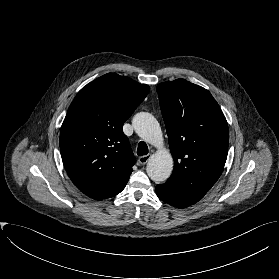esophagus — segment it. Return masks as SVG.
I'll list each match as a JSON object with an SVG mask.
<instances>
[{
  "mask_svg": "<svg viewBox=\"0 0 279 279\" xmlns=\"http://www.w3.org/2000/svg\"><path fill=\"white\" fill-rule=\"evenodd\" d=\"M150 157H151V155H149V154L144 155V156L139 157L138 161L141 165H144L150 160Z\"/></svg>",
  "mask_w": 279,
  "mask_h": 279,
  "instance_id": "34e87169",
  "label": "esophagus"
}]
</instances>
